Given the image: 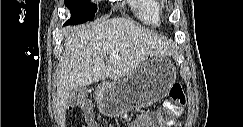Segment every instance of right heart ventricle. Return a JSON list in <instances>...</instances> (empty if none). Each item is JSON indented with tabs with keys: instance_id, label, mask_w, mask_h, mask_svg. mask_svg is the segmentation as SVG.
<instances>
[{
	"instance_id": "e07e8e85",
	"label": "right heart ventricle",
	"mask_w": 243,
	"mask_h": 127,
	"mask_svg": "<svg viewBox=\"0 0 243 127\" xmlns=\"http://www.w3.org/2000/svg\"><path fill=\"white\" fill-rule=\"evenodd\" d=\"M131 11L143 24L158 26L164 12V4L160 0H134L131 2Z\"/></svg>"
}]
</instances>
